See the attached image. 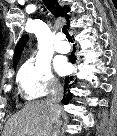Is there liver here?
I'll list each match as a JSON object with an SVG mask.
<instances>
[{"label":"liver","mask_w":117,"mask_h":136,"mask_svg":"<svg viewBox=\"0 0 117 136\" xmlns=\"http://www.w3.org/2000/svg\"><path fill=\"white\" fill-rule=\"evenodd\" d=\"M62 107L48 100L32 101L9 118L3 136H47L53 123H59Z\"/></svg>","instance_id":"6515ba94"}]
</instances>
